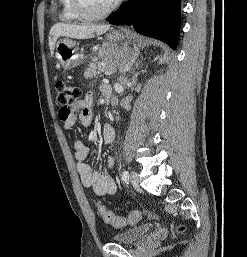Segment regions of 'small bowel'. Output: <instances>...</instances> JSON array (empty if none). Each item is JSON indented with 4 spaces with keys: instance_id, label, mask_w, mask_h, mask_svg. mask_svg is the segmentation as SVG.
Masks as SVG:
<instances>
[{
    "instance_id": "obj_1",
    "label": "small bowel",
    "mask_w": 247,
    "mask_h": 257,
    "mask_svg": "<svg viewBox=\"0 0 247 257\" xmlns=\"http://www.w3.org/2000/svg\"><path fill=\"white\" fill-rule=\"evenodd\" d=\"M93 95L88 93L84 99L76 101L68 110H59V118L62 120L64 128L70 130L80 122L83 126H89L93 118L92 112ZM115 130L105 124L102 129V141L105 145L113 142ZM75 158L77 160V171L80 175L83 186L92 188L98 196L113 195L116 193L117 185L113 177L105 172L94 171L86 159L90 153L89 147L81 140H76L73 144ZM113 160L109 158L108 165L112 166Z\"/></svg>"
}]
</instances>
